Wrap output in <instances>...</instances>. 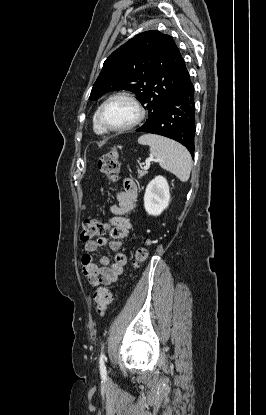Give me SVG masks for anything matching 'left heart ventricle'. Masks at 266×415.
Wrapping results in <instances>:
<instances>
[{
    "instance_id": "obj_1",
    "label": "left heart ventricle",
    "mask_w": 266,
    "mask_h": 415,
    "mask_svg": "<svg viewBox=\"0 0 266 415\" xmlns=\"http://www.w3.org/2000/svg\"><path fill=\"white\" fill-rule=\"evenodd\" d=\"M137 116L132 103L123 98L112 100L104 110V120L111 127H122L130 124Z\"/></svg>"
}]
</instances>
